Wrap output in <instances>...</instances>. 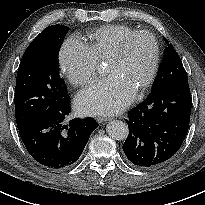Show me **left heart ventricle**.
<instances>
[{
    "label": "left heart ventricle",
    "mask_w": 205,
    "mask_h": 205,
    "mask_svg": "<svg viewBox=\"0 0 205 205\" xmlns=\"http://www.w3.org/2000/svg\"><path fill=\"white\" fill-rule=\"evenodd\" d=\"M152 60V42L150 38L141 36L130 43L122 60L107 62L106 68L110 76L120 77L136 91L147 78Z\"/></svg>",
    "instance_id": "b2bd125f"
}]
</instances>
